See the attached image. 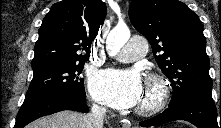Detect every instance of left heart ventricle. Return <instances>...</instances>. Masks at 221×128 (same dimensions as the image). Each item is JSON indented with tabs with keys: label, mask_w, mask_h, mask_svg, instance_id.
<instances>
[{
	"label": "left heart ventricle",
	"mask_w": 221,
	"mask_h": 128,
	"mask_svg": "<svg viewBox=\"0 0 221 128\" xmlns=\"http://www.w3.org/2000/svg\"><path fill=\"white\" fill-rule=\"evenodd\" d=\"M151 96H152L151 90L147 86H145L143 94H142V98L140 102L138 103V106L145 104L150 99Z\"/></svg>",
	"instance_id": "b2bd125f"
}]
</instances>
